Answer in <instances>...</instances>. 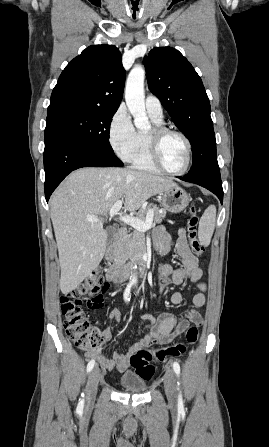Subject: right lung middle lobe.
Returning <instances> with one entry per match:
<instances>
[{"label":"right lung middle lobe","mask_w":269,"mask_h":447,"mask_svg":"<svg viewBox=\"0 0 269 447\" xmlns=\"http://www.w3.org/2000/svg\"><path fill=\"white\" fill-rule=\"evenodd\" d=\"M117 110L62 109L48 113L46 127L55 128L113 152L108 135L110 123Z\"/></svg>","instance_id":"right-lung-middle-lobe-1"}]
</instances>
